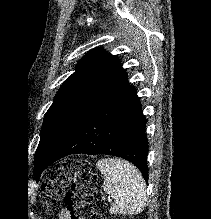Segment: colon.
I'll return each instance as SVG.
<instances>
[{
    "instance_id": "1",
    "label": "colon",
    "mask_w": 211,
    "mask_h": 219,
    "mask_svg": "<svg viewBox=\"0 0 211 219\" xmlns=\"http://www.w3.org/2000/svg\"><path fill=\"white\" fill-rule=\"evenodd\" d=\"M96 185L97 178L87 161L68 159L58 164L43 184L42 201L48 212L64 201L71 219H104L94 206Z\"/></svg>"
}]
</instances>
